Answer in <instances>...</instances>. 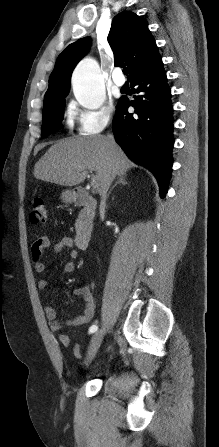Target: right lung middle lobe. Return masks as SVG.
Here are the masks:
<instances>
[{"label":"right lung middle lobe","instance_id":"right-lung-middle-lobe-1","mask_svg":"<svg viewBox=\"0 0 219 447\" xmlns=\"http://www.w3.org/2000/svg\"><path fill=\"white\" fill-rule=\"evenodd\" d=\"M66 96L67 93L59 94L44 100L43 123L41 130L42 137H45L52 131H56L61 128Z\"/></svg>","mask_w":219,"mask_h":447}]
</instances>
